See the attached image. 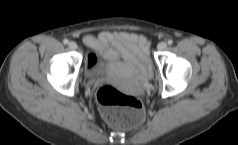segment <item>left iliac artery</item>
<instances>
[{"mask_svg": "<svg viewBox=\"0 0 238 145\" xmlns=\"http://www.w3.org/2000/svg\"><path fill=\"white\" fill-rule=\"evenodd\" d=\"M167 43H168V45H172V44H173V40H172V39H169V40L167 41Z\"/></svg>", "mask_w": 238, "mask_h": 145, "instance_id": "obj_1", "label": "left iliac artery"}]
</instances>
